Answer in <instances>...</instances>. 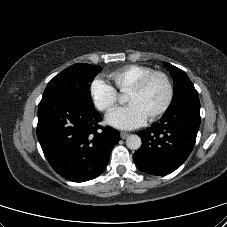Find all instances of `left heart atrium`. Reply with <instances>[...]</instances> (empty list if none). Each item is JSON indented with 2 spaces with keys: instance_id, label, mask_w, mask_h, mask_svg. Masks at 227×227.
Segmentation results:
<instances>
[{
  "instance_id": "1",
  "label": "left heart atrium",
  "mask_w": 227,
  "mask_h": 227,
  "mask_svg": "<svg viewBox=\"0 0 227 227\" xmlns=\"http://www.w3.org/2000/svg\"><path fill=\"white\" fill-rule=\"evenodd\" d=\"M147 115L134 103L112 110L107 115V122L119 129L130 130L143 125Z\"/></svg>"
}]
</instances>
